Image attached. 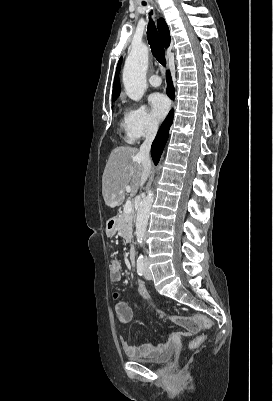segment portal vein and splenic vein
<instances>
[{
	"label": "portal vein and splenic vein",
	"instance_id": "1",
	"mask_svg": "<svg viewBox=\"0 0 273 401\" xmlns=\"http://www.w3.org/2000/svg\"><path fill=\"white\" fill-rule=\"evenodd\" d=\"M126 192H131V186H126ZM124 213H131L132 211V205H131V201H127L126 205H124V209H123Z\"/></svg>",
	"mask_w": 273,
	"mask_h": 401
}]
</instances>
